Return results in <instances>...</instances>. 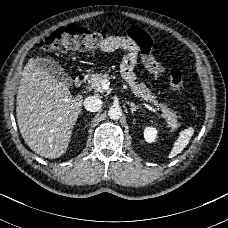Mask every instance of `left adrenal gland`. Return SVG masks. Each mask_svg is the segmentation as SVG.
Instances as JSON below:
<instances>
[{"mask_svg":"<svg viewBox=\"0 0 228 228\" xmlns=\"http://www.w3.org/2000/svg\"><path fill=\"white\" fill-rule=\"evenodd\" d=\"M128 105H130V107H131V113H132V115H135V112L137 111V110H139L140 108L137 106V105H135L133 102H131V103H127Z\"/></svg>","mask_w":228,"mask_h":228,"instance_id":"1","label":"left adrenal gland"}]
</instances>
